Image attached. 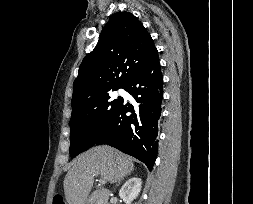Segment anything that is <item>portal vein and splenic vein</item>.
<instances>
[{"mask_svg": "<svg viewBox=\"0 0 253 204\" xmlns=\"http://www.w3.org/2000/svg\"><path fill=\"white\" fill-rule=\"evenodd\" d=\"M92 175H93V176H98V174L95 173V172H92ZM105 183H106V182H105L104 180H102V179L99 180V185H104Z\"/></svg>", "mask_w": 253, "mask_h": 204, "instance_id": "1", "label": "portal vein and splenic vein"}]
</instances>
